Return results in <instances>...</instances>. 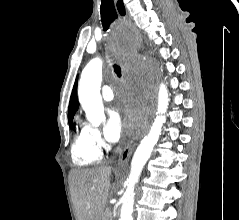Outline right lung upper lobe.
I'll return each instance as SVG.
<instances>
[{
  "instance_id": "1",
  "label": "right lung upper lobe",
  "mask_w": 239,
  "mask_h": 220,
  "mask_svg": "<svg viewBox=\"0 0 239 220\" xmlns=\"http://www.w3.org/2000/svg\"><path fill=\"white\" fill-rule=\"evenodd\" d=\"M77 83H78V80L76 78V81L73 86L72 94L70 97L69 107H68V120L73 119L74 114L79 106L78 100H77Z\"/></svg>"
}]
</instances>
